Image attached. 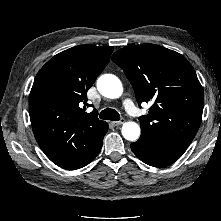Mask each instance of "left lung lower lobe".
Here are the masks:
<instances>
[{
	"mask_svg": "<svg viewBox=\"0 0 221 221\" xmlns=\"http://www.w3.org/2000/svg\"><path fill=\"white\" fill-rule=\"evenodd\" d=\"M187 147L148 135L140 136L137 142L131 144L132 151L141 161L155 167H165L174 163Z\"/></svg>",
	"mask_w": 221,
	"mask_h": 221,
	"instance_id": "0a47b994",
	"label": "left lung lower lobe"
}]
</instances>
